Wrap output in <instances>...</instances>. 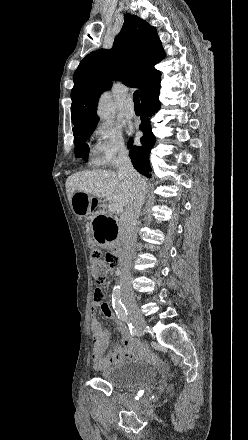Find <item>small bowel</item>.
I'll use <instances>...</instances> for the list:
<instances>
[{"instance_id":"small-bowel-1","label":"small bowel","mask_w":248,"mask_h":440,"mask_svg":"<svg viewBox=\"0 0 248 440\" xmlns=\"http://www.w3.org/2000/svg\"><path fill=\"white\" fill-rule=\"evenodd\" d=\"M116 271V267H111V271L109 272L110 276L107 277L108 281L113 279L111 276H113ZM98 307L102 310L105 317L114 322L122 336L121 344L113 346L108 352H106V350L109 344L110 333L102 327L97 319L96 309ZM90 322L93 339L91 359L95 369H103L129 359L147 358L153 361L156 360V357L149 353L148 346L145 342H139L132 338L127 327L118 318L115 309H112L110 303L106 301L105 298L102 300L94 299L90 313Z\"/></svg>"}]
</instances>
